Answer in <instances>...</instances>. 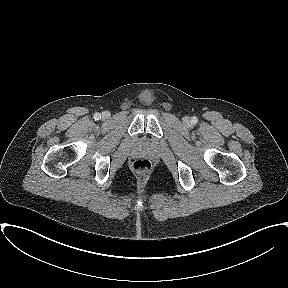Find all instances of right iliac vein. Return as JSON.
<instances>
[{"instance_id": "obj_1", "label": "right iliac vein", "mask_w": 288, "mask_h": 288, "mask_svg": "<svg viewBox=\"0 0 288 288\" xmlns=\"http://www.w3.org/2000/svg\"><path fill=\"white\" fill-rule=\"evenodd\" d=\"M109 113L108 112H104V113H102V118L103 119H108L109 118Z\"/></svg>"}]
</instances>
